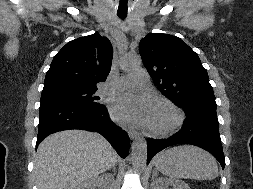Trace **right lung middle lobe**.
Here are the masks:
<instances>
[{
  "label": "right lung middle lobe",
  "mask_w": 253,
  "mask_h": 189,
  "mask_svg": "<svg viewBox=\"0 0 253 189\" xmlns=\"http://www.w3.org/2000/svg\"><path fill=\"white\" fill-rule=\"evenodd\" d=\"M97 88H54L43 90L40 103L45 102H63L86 105L90 107H103V104L97 102L98 98L92 95Z\"/></svg>",
  "instance_id": "dd1d6c3e"
}]
</instances>
